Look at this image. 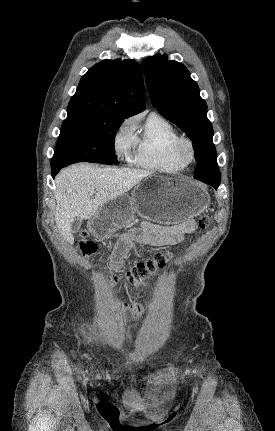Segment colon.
Listing matches in <instances>:
<instances>
[{"label":"colon","instance_id":"5ec220e1","mask_svg":"<svg viewBox=\"0 0 275 431\" xmlns=\"http://www.w3.org/2000/svg\"><path fill=\"white\" fill-rule=\"evenodd\" d=\"M199 227L205 229L210 224L208 216H202L198 221ZM79 248L85 255H92L96 252V244L88 238H82L79 242ZM170 258V253H157L150 260L136 264L130 271L127 272L126 278L134 283H145V280L163 269ZM109 280L116 283L119 279L116 276H111Z\"/></svg>","mask_w":275,"mask_h":431}]
</instances>
